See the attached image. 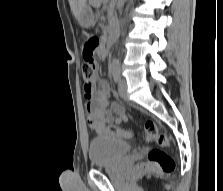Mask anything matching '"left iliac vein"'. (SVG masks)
I'll list each match as a JSON object with an SVG mask.
<instances>
[{"instance_id":"obj_1","label":"left iliac vein","mask_w":223,"mask_h":191,"mask_svg":"<svg viewBox=\"0 0 223 191\" xmlns=\"http://www.w3.org/2000/svg\"><path fill=\"white\" fill-rule=\"evenodd\" d=\"M118 92L119 95L124 99L128 100V95H127V83L125 79L119 80L118 84Z\"/></svg>"}]
</instances>
